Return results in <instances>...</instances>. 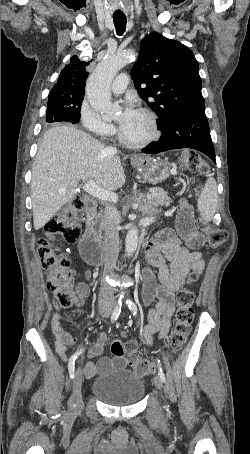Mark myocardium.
<instances>
[{
	"instance_id": "obj_1",
	"label": "myocardium",
	"mask_w": 250,
	"mask_h": 454,
	"mask_svg": "<svg viewBox=\"0 0 250 454\" xmlns=\"http://www.w3.org/2000/svg\"><path fill=\"white\" fill-rule=\"evenodd\" d=\"M137 111L140 112L141 114H143L147 118V120L150 124L151 133L147 138H145L141 141H138V142H134V141H130V140L126 139L124 137V135L122 134L121 130L119 129L118 130L119 141L126 147H129L132 149L145 148V147L149 146L150 144H152L153 142H155L156 140H158L160 137V130H159V125H158L156 115L151 110L146 109V108H139Z\"/></svg>"
}]
</instances>
